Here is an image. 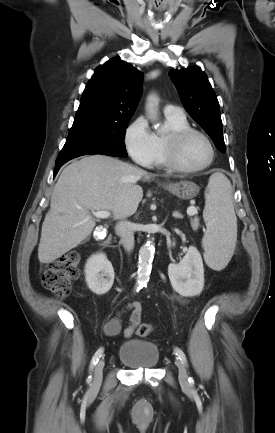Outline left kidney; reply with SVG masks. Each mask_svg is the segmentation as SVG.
I'll return each instance as SVG.
<instances>
[{
    "mask_svg": "<svg viewBox=\"0 0 275 433\" xmlns=\"http://www.w3.org/2000/svg\"><path fill=\"white\" fill-rule=\"evenodd\" d=\"M168 276L173 289L180 295H199L204 287V267L197 248L190 246L179 264H169Z\"/></svg>",
    "mask_w": 275,
    "mask_h": 433,
    "instance_id": "left-kidney-1",
    "label": "left kidney"
}]
</instances>
